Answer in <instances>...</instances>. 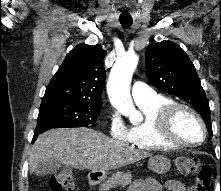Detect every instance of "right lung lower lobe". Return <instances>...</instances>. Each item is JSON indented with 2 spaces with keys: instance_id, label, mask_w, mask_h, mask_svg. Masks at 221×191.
I'll return each mask as SVG.
<instances>
[{
  "instance_id": "98d812e1",
  "label": "right lung lower lobe",
  "mask_w": 221,
  "mask_h": 191,
  "mask_svg": "<svg viewBox=\"0 0 221 191\" xmlns=\"http://www.w3.org/2000/svg\"><path fill=\"white\" fill-rule=\"evenodd\" d=\"M44 131L42 130L41 132H35L34 136H33V140H32V143L36 140L38 134H41L43 133Z\"/></svg>"
}]
</instances>
